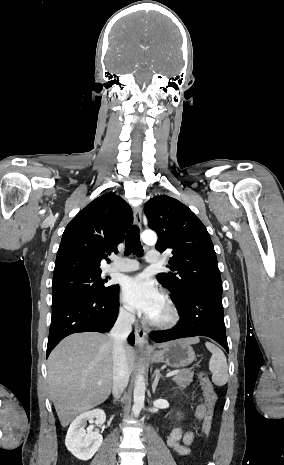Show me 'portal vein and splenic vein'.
<instances>
[{
    "label": "portal vein and splenic vein",
    "instance_id": "obj_1",
    "mask_svg": "<svg viewBox=\"0 0 284 465\" xmlns=\"http://www.w3.org/2000/svg\"><path fill=\"white\" fill-rule=\"evenodd\" d=\"M178 373H181V371H170V373H167L166 377H172V375H178Z\"/></svg>",
    "mask_w": 284,
    "mask_h": 465
}]
</instances>
